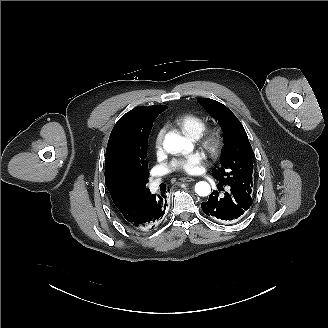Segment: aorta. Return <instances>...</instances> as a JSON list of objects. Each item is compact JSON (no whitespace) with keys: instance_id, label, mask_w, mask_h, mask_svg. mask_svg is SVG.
<instances>
[{"instance_id":"1","label":"aorta","mask_w":328,"mask_h":328,"mask_svg":"<svg viewBox=\"0 0 328 328\" xmlns=\"http://www.w3.org/2000/svg\"><path fill=\"white\" fill-rule=\"evenodd\" d=\"M164 147L169 153H178L182 150H190L191 143L185 138L177 134H168L164 140ZM195 192L199 196H208L211 192L210 185L205 181H200L195 185Z\"/></svg>"}]
</instances>
